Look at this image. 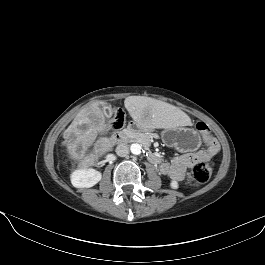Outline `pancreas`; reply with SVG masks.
Listing matches in <instances>:
<instances>
[{"label": "pancreas", "mask_w": 265, "mask_h": 265, "mask_svg": "<svg viewBox=\"0 0 265 265\" xmlns=\"http://www.w3.org/2000/svg\"><path fill=\"white\" fill-rule=\"evenodd\" d=\"M129 139L142 143L145 147H149L151 139L153 136L148 133H139L135 131H129Z\"/></svg>", "instance_id": "obj_1"}]
</instances>
